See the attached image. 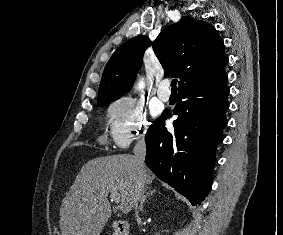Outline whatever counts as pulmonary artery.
I'll list each match as a JSON object with an SVG mask.
<instances>
[{
	"label": "pulmonary artery",
	"mask_w": 283,
	"mask_h": 235,
	"mask_svg": "<svg viewBox=\"0 0 283 235\" xmlns=\"http://www.w3.org/2000/svg\"><path fill=\"white\" fill-rule=\"evenodd\" d=\"M168 86H169V81L167 79H164L160 82L157 90V96L163 102L169 101L171 97V92L169 91Z\"/></svg>",
	"instance_id": "pulmonary-artery-1"
}]
</instances>
